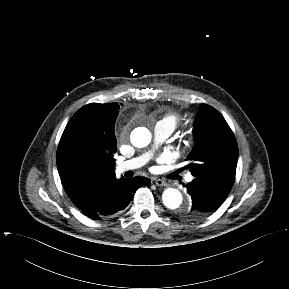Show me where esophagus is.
Listing matches in <instances>:
<instances>
[{
	"instance_id": "esophagus-1",
	"label": "esophagus",
	"mask_w": 289,
	"mask_h": 289,
	"mask_svg": "<svg viewBox=\"0 0 289 289\" xmlns=\"http://www.w3.org/2000/svg\"><path fill=\"white\" fill-rule=\"evenodd\" d=\"M154 182L157 186H161V187L167 185L166 181H164L163 179H154Z\"/></svg>"
}]
</instances>
